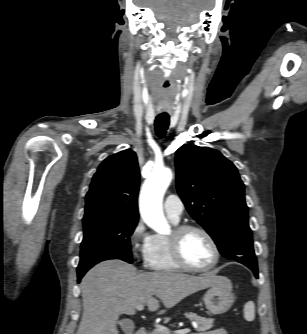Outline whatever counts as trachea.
<instances>
[{
  "label": "trachea",
  "instance_id": "3493384b",
  "mask_svg": "<svg viewBox=\"0 0 307 334\" xmlns=\"http://www.w3.org/2000/svg\"><path fill=\"white\" fill-rule=\"evenodd\" d=\"M169 126V116L160 114L155 119V132L159 138H164Z\"/></svg>",
  "mask_w": 307,
  "mask_h": 334
}]
</instances>
